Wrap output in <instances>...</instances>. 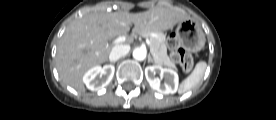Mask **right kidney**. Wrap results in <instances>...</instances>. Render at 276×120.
<instances>
[{
  "label": "right kidney",
  "mask_w": 276,
  "mask_h": 120,
  "mask_svg": "<svg viewBox=\"0 0 276 120\" xmlns=\"http://www.w3.org/2000/svg\"><path fill=\"white\" fill-rule=\"evenodd\" d=\"M114 72L115 67L113 65L94 66L84 74L83 82L89 90L100 91L110 83Z\"/></svg>",
  "instance_id": "obj_1"
}]
</instances>
